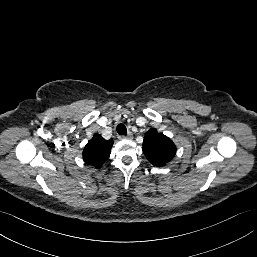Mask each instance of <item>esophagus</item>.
Returning <instances> with one entry per match:
<instances>
[{
  "label": "esophagus",
  "instance_id": "esophagus-1",
  "mask_svg": "<svg viewBox=\"0 0 257 257\" xmlns=\"http://www.w3.org/2000/svg\"><path fill=\"white\" fill-rule=\"evenodd\" d=\"M124 139L131 140L133 138L132 133H128L126 136H123Z\"/></svg>",
  "mask_w": 257,
  "mask_h": 257
}]
</instances>
